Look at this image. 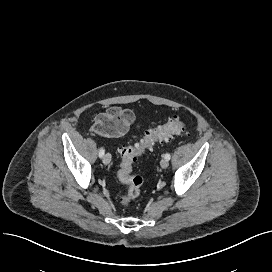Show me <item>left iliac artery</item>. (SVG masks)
Segmentation results:
<instances>
[{"label": "left iliac artery", "mask_w": 272, "mask_h": 272, "mask_svg": "<svg viewBox=\"0 0 272 272\" xmlns=\"http://www.w3.org/2000/svg\"><path fill=\"white\" fill-rule=\"evenodd\" d=\"M164 157H165V159H167V160H170V158H171V156H170L169 153H166Z\"/></svg>", "instance_id": "1"}]
</instances>
